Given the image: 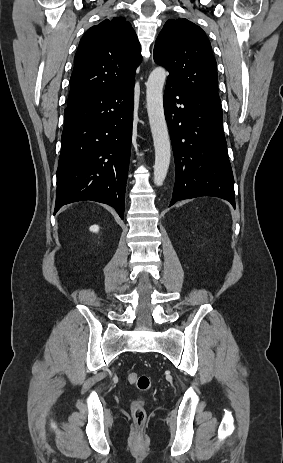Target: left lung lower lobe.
<instances>
[{
    "mask_svg": "<svg viewBox=\"0 0 283 463\" xmlns=\"http://www.w3.org/2000/svg\"><path fill=\"white\" fill-rule=\"evenodd\" d=\"M164 112L175 158L170 206L182 199L214 196L228 200L235 207L222 111L205 105L167 79Z\"/></svg>",
    "mask_w": 283,
    "mask_h": 463,
    "instance_id": "0a47b994",
    "label": "left lung lower lobe"
}]
</instances>
